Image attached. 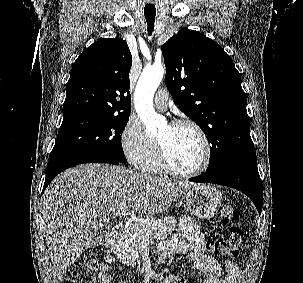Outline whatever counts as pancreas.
I'll return each mask as SVG.
<instances>
[{
  "label": "pancreas",
  "instance_id": "pancreas-1",
  "mask_svg": "<svg viewBox=\"0 0 303 283\" xmlns=\"http://www.w3.org/2000/svg\"><path fill=\"white\" fill-rule=\"evenodd\" d=\"M173 216L164 217L148 223H132L125 228L124 233L116 244V252L120 259L128 266L139 263L138 254L144 243L166 239L176 228Z\"/></svg>",
  "mask_w": 303,
  "mask_h": 283
}]
</instances>
